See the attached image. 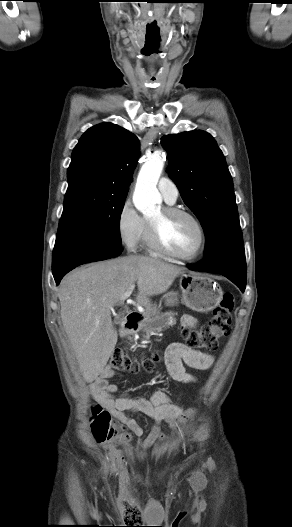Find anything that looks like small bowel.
Instances as JSON below:
<instances>
[{"instance_id":"small-bowel-1","label":"small bowel","mask_w":292,"mask_h":527,"mask_svg":"<svg viewBox=\"0 0 292 527\" xmlns=\"http://www.w3.org/2000/svg\"><path fill=\"white\" fill-rule=\"evenodd\" d=\"M182 325L195 327L197 320L185 315L182 318ZM213 362L214 357L211 354L196 351L179 342L170 344L165 353L169 375L181 383H193L196 380L194 375L187 372L185 365L197 370H207ZM113 375L111 368H106L101 373L94 383V395L118 421L138 437V443L142 448H149L156 441L168 437L160 429L162 422L167 423L174 432L193 415V410H184L180 405L173 403L163 391H156L150 397H133L126 393L115 395L118 386L108 382ZM129 412L143 413L154 420L155 423L146 437H143V429L139 423L128 415Z\"/></svg>"}]
</instances>
